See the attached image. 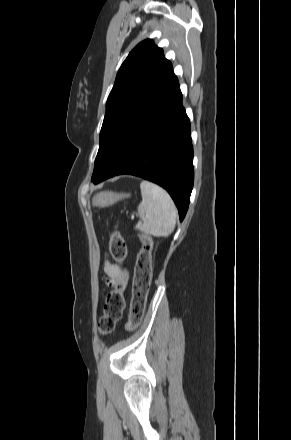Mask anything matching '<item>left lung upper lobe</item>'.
Instances as JSON below:
<instances>
[{
  "mask_svg": "<svg viewBox=\"0 0 291 440\" xmlns=\"http://www.w3.org/2000/svg\"><path fill=\"white\" fill-rule=\"evenodd\" d=\"M163 50L151 39L139 43L121 65L106 103L93 176L132 122L174 77Z\"/></svg>",
  "mask_w": 291,
  "mask_h": 440,
  "instance_id": "5c2ea615",
  "label": "left lung upper lobe"
}]
</instances>
